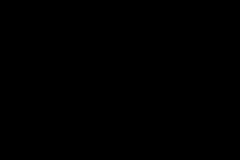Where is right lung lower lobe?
Wrapping results in <instances>:
<instances>
[{"instance_id": "1", "label": "right lung lower lobe", "mask_w": 240, "mask_h": 160, "mask_svg": "<svg viewBox=\"0 0 240 160\" xmlns=\"http://www.w3.org/2000/svg\"><path fill=\"white\" fill-rule=\"evenodd\" d=\"M111 83V81L108 83V82H103V83H101V85L99 86L101 89H106L109 85L108 84H110Z\"/></svg>"}]
</instances>
